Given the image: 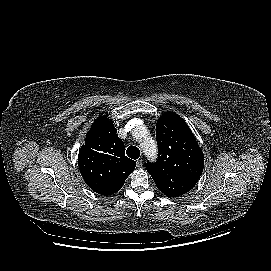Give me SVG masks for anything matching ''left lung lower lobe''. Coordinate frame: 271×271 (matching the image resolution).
I'll use <instances>...</instances> for the list:
<instances>
[{
	"label": "left lung lower lobe",
	"instance_id": "1",
	"mask_svg": "<svg viewBox=\"0 0 271 271\" xmlns=\"http://www.w3.org/2000/svg\"><path fill=\"white\" fill-rule=\"evenodd\" d=\"M176 184V190H174V195L176 196L183 195L194 187V184L181 179H178Z\"/></svg>",
	"mask_w": 271,
	"mask_h": 271
}]
</instances>
